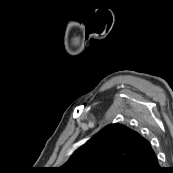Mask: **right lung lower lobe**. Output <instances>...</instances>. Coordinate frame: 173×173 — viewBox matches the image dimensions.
I'll list each match as a JSON object with an SVG mask.
<instances>
[{"label":"right lung lower lobe","mask_w":173,"mask_h":173,"mask_svg":"<svg viewBox=\"0 0 173 173\" xmlns=\"http://www.w3.org/2000/svg\"><path fill=\"white\" fill-rule=\"evenodd\" d=\"M161 172L162 171L159 167L158 159L155 152L137 160L124 171V173H161Z\"/></svg>","instance_id":"obj_1"}]
</instances>
